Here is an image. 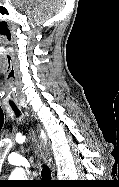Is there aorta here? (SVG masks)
<instances>
[{
    "mask_svg": "<svg viewBox=\"0 0 119 187\" xmlns=\"http://www.w3.org/2000/svg\"><path fill=\"white\" fill-rule=\"evenodd\" d=\"M11 179H14V180H22L24 178V170L21 169V168H16L11 176H10Z\"/></svg>",
    "mask_w": 119,
    "mask_h": 187,
    "instance_id": "762f6f07",
    "label": "aorta"
}]
</instances>
